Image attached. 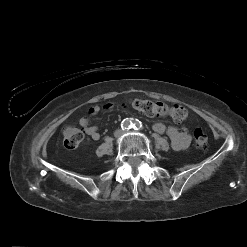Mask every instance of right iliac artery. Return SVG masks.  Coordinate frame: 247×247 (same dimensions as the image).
Returning <instances> with one entry per match:
<instances>
[{
	"label": "right iliac artery",
	"instance_id": "obj_1",
	"mask_svg": "<svg viewBox=\"0 0 247 247\" xmlns=\"http://www.w3.org/2000/svg\"><path fill=\"white\" fill-rule=\"evenodd\" d=\"M133 126V122L131 121V119H124L121 123V128L123 130H129L130 128H132Z\"/></svg>",
	"mask_w": 247,
	"mask_h": 247
}]
</instances>
